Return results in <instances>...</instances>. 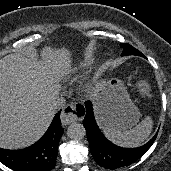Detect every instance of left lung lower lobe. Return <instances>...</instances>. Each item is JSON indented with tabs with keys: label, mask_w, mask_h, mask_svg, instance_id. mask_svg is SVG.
Returning a JSON list of instances; mask_svg holds the SVG:
<instances>
[{
	"label": "left lung lower lobe",
	"mask_w": 171,
	"mask_h": 171,
	"mask_svg": "<svg viewBox=\"0 0 171 171\" xmlns=\"http://www.w3.org/2000/svg\"><path fill=\"white\" fill-rule=\"evenodd\" d=\"M83 125L86 129L90 150L94 160L102 167L110 170L119 169L137 161L151 147L157 134L145 145L138 148H121L110 141L98 128L90 101L85 103V119Z\"/></svg>",
	"instance_id": "0a47b994"
}]
</instances>
